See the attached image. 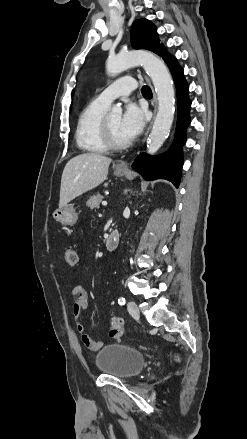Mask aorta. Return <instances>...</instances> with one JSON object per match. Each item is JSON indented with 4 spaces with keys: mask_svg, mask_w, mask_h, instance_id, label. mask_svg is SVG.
I'll return each instance as SVG.
<instances>
[{
    "mask_svg": "<svg viewBox=\"0 0 247 439\" xmlns=\"http://www.w3.org/2000/svg\"><path fill=\"white\" fill-rule=\"evenodd\" d=\"M143 65L150 76L158 100V112L147 141V152L155 154L169 135L175 112L174 86L171 75L158 57L147 52H123L106 61V71L109 76H116L122 71L136 65ZM119 106L112 108L114 116L121 115Z\"/></svg>",
    "mask_w": 247,
    "mask_h": 439,
    "instance_id": "obj_1",
    "label": "aorta"
}]
</instances>
